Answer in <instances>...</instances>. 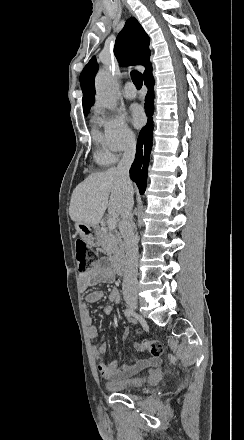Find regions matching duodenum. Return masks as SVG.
<instances>
[{
	"label": "duodenum",
	"mask_w": 244,
	"mask_h": 440,
	"mask_svg": "<svg viewBox=\"0 0 244 440\" xmlns=\"http://www.w3.org/2000/svg\"><path fill=\"white\" fill-rule=\"evenodd\" d=\"M114 267L118 274H123L125 272V258H118L114 264Z\"/></svg>",
	"instance_id": "1"
}]
</instances>
